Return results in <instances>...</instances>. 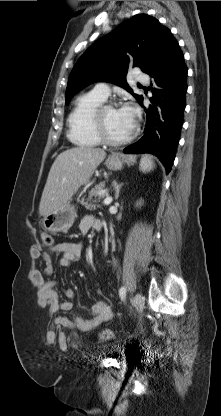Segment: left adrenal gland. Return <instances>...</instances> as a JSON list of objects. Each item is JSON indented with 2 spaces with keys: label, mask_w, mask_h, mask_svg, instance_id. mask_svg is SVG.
<instances>
[{
  "label": "left adrenal gland",
  "mask_w": 221,
  "mask_h": 416,
  "mask_svg": "<svg viewBox=\"0 0 221 416\" xmlns=\"http://www.w3.org/2000/svg\"><path fill=\"white\" fill-rule=\"evenodd\" d=\"M112 185H113L114 190H115V200H117V199H118V197H119V192H120V189H121V187L123 186V183L118 184V183L116 182V180H114V181H113V183H112Z\"/></svg>",
  "instance_id": "obj_1"
}]
</instances>
